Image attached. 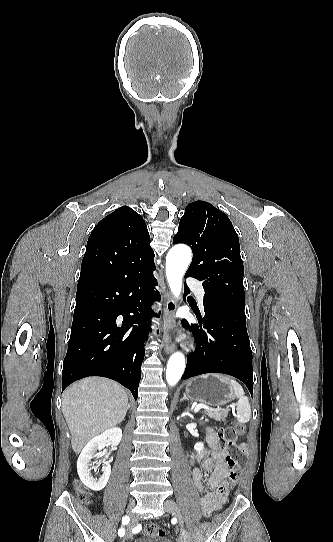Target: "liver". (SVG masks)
<instances>
[{
	"label": "liver",
	"mask_w": 333,
	"mask_h": 542,
	"mask_svg": "<svg viewBox=\"0 0 333 542\" xmlns=\"http://www.w3.org/2000/svg\"><path fill=\"white\" fill-rule=\"evenodd\" d=\"M127 410L128 396L113 380L85 378L72 384L63 394L62 412L73 452L80 454L91 438L120 424Z\"/></svg>",
	"instance_id": "1"
}]
</instances>
